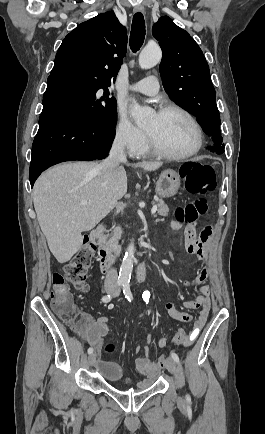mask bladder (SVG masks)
I'll return each mask as SVG.
<instances>
[{
    "mask_svg": "<svg viewBox=\"0 0 265 434\" xmlns=\"http://www.w3.org/2000/svg\"><path fill=\"white\" fill-rule=\"evenodd\" d=\"M100 375L109 382H118L123 378L121 365L113 362H103L98 365Z\"/></svg>",
    "mask_w": 265,
    "mask_h": 434,
    "instance_id": "obj_1",
    "label": "bladder"
}]
</instances>
